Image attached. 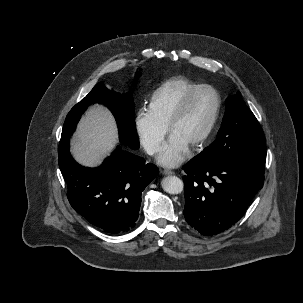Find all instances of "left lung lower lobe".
Masks as SVG:
<instances>
[{"label":"left lung lower lobe","mask_w":303,"mask_h":303,"mask_svg":"<svg viewBox=\"0 0 303 303\" xmlns=\"http://www.w3.org/2000/svg\"><path fill=\"white\" fill-rule=\"evenodd\" d=\"M184 170V216L205 236L227 230L240 220L264 183V174L227 160L197 156Z\"/></svg>","instance_id":"left-lung-lower-lobe-1"}]
</instances>
